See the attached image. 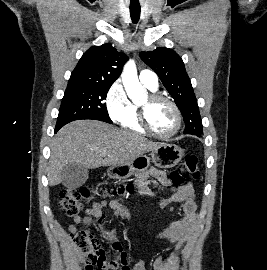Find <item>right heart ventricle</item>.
Wrapping results in <instances>:
<instances>
[{
  "label": "right heart ventricle",
  "mask_w": 267,
  "mask_h": 270,
  "mask_svg": "<svg viewBox=\"0 0 267 270\" xmlns=\"http://www.w3.org/2000/svg\"><path fill=\"white\" fill-rule=\"evenodd\" d=\"M145 86L151 91L156 92L157 88H152L145 84ZM121 125L132 132L145 135L147 132L142 128L140 121H139V112L138 106L136 104H132L131 112L129 116L121 123Z\"/></svg>",
  "instance_id": "1"
}]
</instances>
